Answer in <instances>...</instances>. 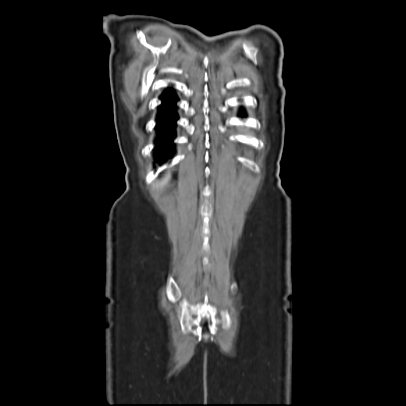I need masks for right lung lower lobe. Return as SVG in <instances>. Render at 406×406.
Wrapping results in <instances>:
<instances>
[{"label": "right lung lower lobe", "mask_w": 406, "mask_h": 406, "mask_svg": "<svg viewBox=\"0 0 406 406\" xmlns=\"http://www.w3.org/2000/svg\"><path fill=\"white\" fill-rule=\"evenodd\" d=\"M161 100L162 105L158 116L160 130L156 145L167 153L173 151L174 126L178 119L175 112L177 98L172 92H168L161 97Z\"/></svg>", "instance_id": "obj_1"}]
</instances>
